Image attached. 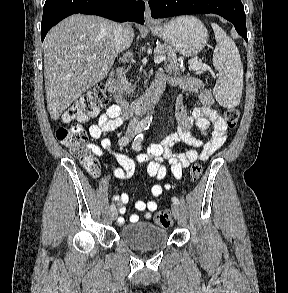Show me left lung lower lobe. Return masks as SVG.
Segmentation results:
<instances>
[{
  "label": "left lung lower lobe",
  "instance_id": "left-lung-lower-lobe-1",
  "mask_svg": "<svg viewBox=\"0 0 288 293\" xmlns=\"http://www.w3.org/2000/svg\"><path fill=\"white\" fill-rule=\"evenodd\" d=\"M151 16L164 18L186 14H218L232 22L247 41L244 6L241 0H149Z\"/></svg>",
  "mask_w": 288,
  "mask_h": 293
}]
</instances>
